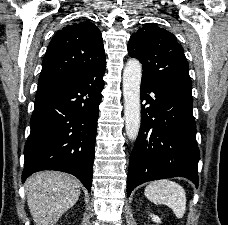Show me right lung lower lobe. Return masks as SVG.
Listing matches in <instances>:
<instances>
[{"instance_id": "1", "label": "right lung lower lobe", "mask_w": 228, "mask_h": 225, "mask_svg": "<svg viewBox=\"0 0 228 225\" xmlns=\"http://www.w3.org/2000/svg\"><path fill=\"white\" fill-rule=\"evenodd\" d=\"M105 64L71 80L38 87L22 182L41 170L76 176L88 191Z\"/></svg>"}]
</instances>
